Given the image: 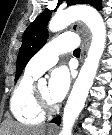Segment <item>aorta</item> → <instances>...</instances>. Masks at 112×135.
Here are the masks:
<instances>
[{
  "label": "aorta",
  "instance_id": "aorta-1",
  "mask_svg": "<svg viewBox=\"0 0 112 135\" xmlns=\"http://www.w3.org/2000/svg\"><path fill=\"white\" fill-rule=\"evenodd\" d=\"M76 20H81L88 26L92 33V41L87 58L64 107L62 129L59 135H72L75 121L81 113L93 85L106 43V27L103 18L96 9L90 6L71 7L57 12L50 20L49 30L52 32L63 30Z\"/></svg>",
  "mask_w": 112,
  "mask_h": 135
}]
</instances>
